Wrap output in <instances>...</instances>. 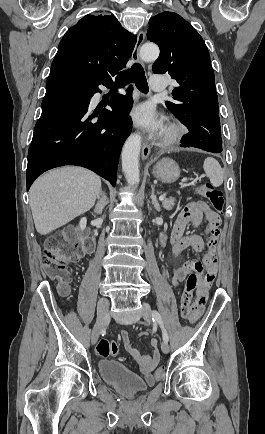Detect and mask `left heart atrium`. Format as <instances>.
Instances as JSON below:
<instances>
[{
	"instance_id": "1",
	"label": "left heart atrium",
	"mask_w": 265,
	"mask_h": 434,
	"mask_svg": "<svg viewBox=\"0 0 265 434\" xmlns=\"http://www.w3.org/2000/svg\"><path fill=\"white\" fill-rule=\"evenodd\" d=\"M131 117L138 125L155 133L161 132V127L156 120V112L149 104L143 103L133 108Z\"/></svg>"
}]
</instances>
